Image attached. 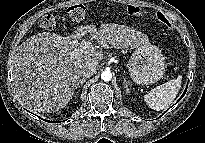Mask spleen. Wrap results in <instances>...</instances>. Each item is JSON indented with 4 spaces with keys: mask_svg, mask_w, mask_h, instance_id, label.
Returning a JSON list of instances; mask_svg holds the SVG:
<instances>
[{
    "mask_svg": "<svg viewBox=\"0 0 205 143\" xmlns=\"http://www.w3.org/2000/svg\"><path fill=\"white\" fill-rule=\"evenodd\" d=\"M181 82L182 77L178 76L176 79L157 86L144 96L145 102L156 111L168 108L176 98L181 88Z\"/></svg>",
    "mask_w": 205,
    "mask_h": 143,
    "instance_id": "obj_1",
    "label": "spleen"
}]
</instances>
